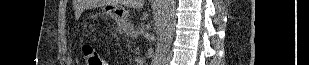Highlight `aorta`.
<instances>
[{
	"label": "aorta",
	"instance_id": "aorta-1",
	"mask_svg": "<svg viewBox=\"0 0 309 65\" xmlns=\"http://www.w3.org/2000/svg\"><path fill=\"white\" fill-rule=\"evenodd\" d=\"M176 24V0H161L156 26L158 43L151 65H164L173 40Z\"/></svg>",
	"mask_w": 309,
	"mask_h": 65
}]
</instances>
